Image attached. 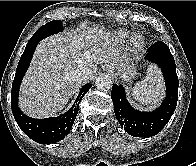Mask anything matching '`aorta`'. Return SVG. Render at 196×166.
<instances>
[{"label":"aorta","mask_w":196,"mask_h":166,"mask_svg":"<svg viewBox=\"0 0 196 166\" xmlns=\"http://www.w3.org/2000/svg\"><path fill=\"white\" fill-rule=\"evenodd\" d=\"M113 81L107 74L99 75L95 80V86L98 90H110L112 88Z\"/></svg>","instance_id":"762f6f07"}]
</instances>
